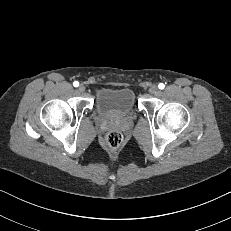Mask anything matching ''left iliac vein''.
Segmentation results:
<instances>
[{"label":"left iliac vein","mask_w":231,"mask_h":231,"mask_svg":"<svg viewBox=\"0 0 231 231\" xmlns=\"http://www.w3.org/2000/svg\"><path fill=\"white\" fill-rule=\"evenodd\" d=\"M149 92L151 94H156L158 92V87L156 85H152L150 88H149Z\"/></svg>","instance_id":"obj_1"}]
</instances>
